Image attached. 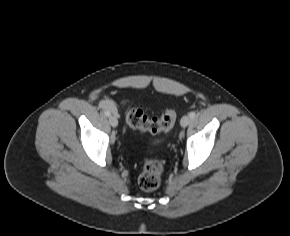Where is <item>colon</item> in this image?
Masks as SVG:
<instances>
[{
  "mask_svg": "<svg viewBox=\"0 0 290 236\" xmlns=\"http://www.w3.org/2000/svg\"><path fill=\"white\" fill-rule=\"evenodd\" d=\"M176 119L173 109H166L160 116H148L143 110L135 107L126 111L127 123L135 129L145 130L150 133H160L170 130ZM163 166L160 160H147L139 176V186L144 191L157 189L162 182Z\"/></svg>",
  "mask_w": 290,
  "mask_h": 236,
  "instance_id": "5ec220e1",
  "label": "colon"
}]
</instances>
